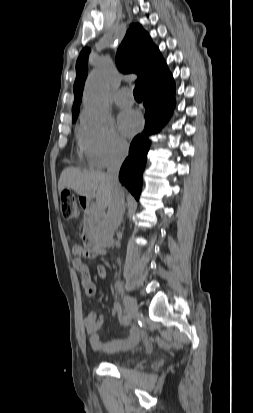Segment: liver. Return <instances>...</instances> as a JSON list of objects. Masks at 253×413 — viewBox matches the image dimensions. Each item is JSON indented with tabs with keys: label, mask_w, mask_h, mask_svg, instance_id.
<instances>
[{
	"label": "liver",
	"mask_w": 253,
	"mask_h": 413,
	"mask_svg": "<svg viewBox=\"0 0 253 413\" xmlns=\"http://www.w3.org/2000/svg\"><path fill=\"white\" fill-rule=\"evenodd\" d=\"M73 190L80 196L88 199L96 197L100 210H105L114 199V190L106 174L99 171L81 170L79 168H65L58 181V191Z\"/></svg>",
	"instance_id": "1"
}]
</instances>
